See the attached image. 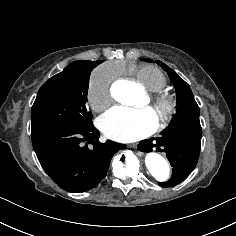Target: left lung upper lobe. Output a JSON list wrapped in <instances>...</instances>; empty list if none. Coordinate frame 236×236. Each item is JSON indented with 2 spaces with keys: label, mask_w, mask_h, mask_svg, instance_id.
<instances>
[{
  "label": "left lung upper lobe",
  "mask_w": 236,
  "mask_h": 236,
  "mask_svg": "<svg viewBox=\"0 0 236 236\" xmlns=\"http://www.w3.org/2000/svg\"><path fill=\"white\" fill-rule=\"evenodd\" d=\"M147 62H154L152 59L142 58ZM169 75L177 93V112L172 118L169 126H187L193 128H201L199 120V107L194 99L193 93L189 85L171 68L163 62L155 61Z\"/></svg>",
  "instance_id": "5c2ea615"
}]
</instances>
